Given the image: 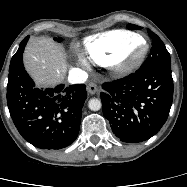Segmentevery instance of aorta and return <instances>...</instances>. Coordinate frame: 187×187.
Returning a JSON list of instances; mask_svg holds the SVG:
<instances>
[{
    "mask_svg": "<svg viewBox=\"0 0 187 187\" xmlns=\"http://www.w3.org/2000/svg\"><path fill=\"white\" fill-rule=\"evenodd\" d=\"M88 107H89V109L92 110V111H98V110L101 109L102 103H101V101H100L99 99H97V98H92V99H90L89 102H88Z\"/></svg>",
    "mask_w": 187,
    "mask_h": 187,
    "instance_id": "1",
    "label": "aorta"
}]
</instances>
